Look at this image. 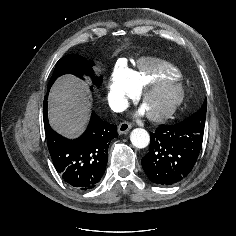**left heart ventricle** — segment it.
Listing matches in <instances>:
<instances>
[{"label":"left heart ventricle","mask_w":236,"mask_h":236,"mask_svg":"<svg viewBox=\"0 0 236 236\" xmlns=\"http://www.w3.org/2000/svg\"><path fill=\"white\" fill-rule=\"evenodd\" d=\"M170 97V92L167 89H159L151 93L147 100L146 103L144 104V108L147 111H160L162 110Z\"/></svg>","instance_id":"1"}]
</instances>
